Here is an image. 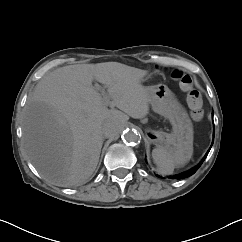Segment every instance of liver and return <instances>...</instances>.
<instances>
[{"mask_svg": "<svg viewBox=\"0 0 242 242\" xmlns=\"http://www.w3.org/2000/svg\"><path fill=\"white\" fill-rule=\"evenodd\" d=\"M147 74L104 62L68 65L43 77L28 97L22 120L24 147L39 174L57 186L86 183L98 164L109 121H120L117 136L129 117L149 113L148 87L141 84ZM93 80L107 88L119 110L107 108Z\"/></svg>", "mask_w": 242, "mask_h": 242, "instance_id": "1", "label": "liver"}]
</instances>
